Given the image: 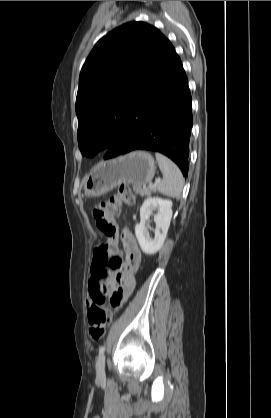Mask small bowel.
<instances>
[{
  "label": "small bowel",
  "instance_id": "obj_1",
  "mask_svg": "<svg viewBox=\"0 0 271 418\" xmlns=\"http://www.w3.org/2000/svg\"><path fill=\"white\" fill-rule=\"evenodd\" d=\"M122 241L125 261L121 269L101 282L104 293L110 296L111 304L115 308L120 307L133 293L135 288L134 274L139 269L141 263V252L134 237L126 232L122 237ZM95 285V281L91 277L89 281V306L93 302ZM116 299H119L117 304L115 303Z\"/></svg>",
  "mask_w": 271,
  "mask_h": 418
}]
</instances>
